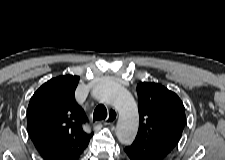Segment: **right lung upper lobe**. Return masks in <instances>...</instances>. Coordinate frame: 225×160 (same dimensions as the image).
<instances>
[{
  "label": "right lung upper lobe",
  "instance_id": "obj_1",
  "mask_svg": "<svg viewBox=\"0 0 225 160\" xmlns=\"http://www.w3.org/2000/svg\"><path fill=\"white\" fill-rule=\"evenodd\" d=\"M79 77L65 75L43 84L31 97L27 129L35 147L46 160H78L93 132L74 99Z\"/></svg>",
  "mask_w": 225,
  "mask_h": 160
}]
</instances>
